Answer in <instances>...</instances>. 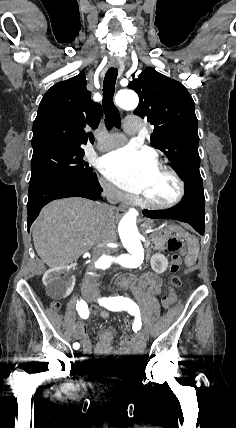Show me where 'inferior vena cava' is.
<instances>
[{
	"label": "inferior vena cava",
	"mask_w": 236,
	"mask_h": 428,
	"mask_svg": "<svg viewBox=\"0 0 236 428\" xmlns=\"http://www.w3.org/2000/svg\"><path fill=\"white\" fill-rule=\"evenodd\" d=\"M102 186H103V196H105V198H107V200H109L110 204H113V200H114V194H116V188H114V186H112V184H108V182H106V180H102L101 182ZM101 206V212L103 214V216L105 217V224L106 225H111L112 221L114 220V206H108V204H100ZM94 241L95 242H100L101 241V236L100 235H95L94 236ZM95 246H98V243H95ZM103 250L106 249H100L99 246L98 248H96L93 251L92 254V263H94L95 261L97 262V260L99 259L98 257L103 255ZM91 270L94 268L92 265L89 267ZM86 278H85V286H82V296H86V297H95L97 296V287L99 286L98 282H93L90 279V274L87 272L86 274ZM92 283L94 286H88L87 283Z\"/></svg>",
	"instance_id": "inferior-vena-cava-1"
}]
</instances>
